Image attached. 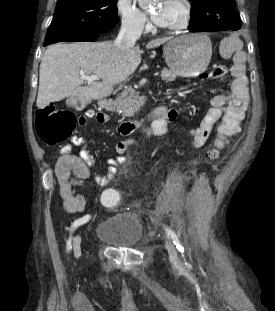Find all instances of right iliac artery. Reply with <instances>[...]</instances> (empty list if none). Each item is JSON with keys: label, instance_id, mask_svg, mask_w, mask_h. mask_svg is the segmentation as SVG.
<instances>
[{"label": "right iliac artery", "instance_id": "82829eb1", "mask_svg": "<svg viewBox=\"0 0 275 311\" xmlns=\"http://www.w3.org/2000/svg\"><path fill=\"white\" fill-rule=\"evenodd\" d=\"M89 219H90L89 215H86V216H84L82 218H79L74 223H72L70 231L73 232L75 230V228H77L78 226L86 223ZM71 248H72V246H71V236H70L69 240L67 241V251H70Z\"/></svg>", "mask_w": 275, "mask_h": 311}]
</instances>
